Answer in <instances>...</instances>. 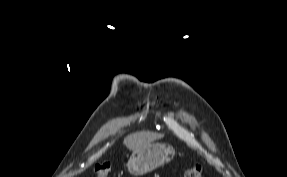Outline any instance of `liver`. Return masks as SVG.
<instances>
[{"label":"liver","instance_id":"1","mask_svg":"<svg viewBox=\"0 0 287 177\" xmlns=\"http://www.w3.org/2000/svg\"><path fill=\"white\" fill-rule=\"evenodd\" d=\"M162 134H156L153 132H137L133 133L127 137L124 138V144L126 147L130 150H136L141 147H144L150 143H152L154 140L162 138Z\"/></svg>","mask_w":287,"mask_h":177}]
</instances>
